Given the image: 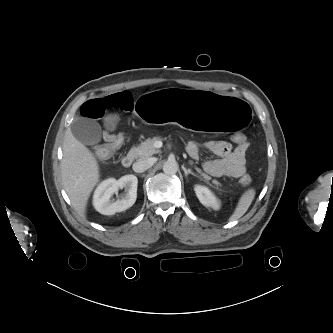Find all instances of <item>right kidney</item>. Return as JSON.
<instances>
[{
  "label": "right kidney",
  "mask_w": 333,
  "mask_h": 333,
  "mask_svg": "<svg viewBox=\"0 0 333 333\" xmlns=\"http://www.w3.org/2000/svg\"><path fill=\"white\" fill-rule=\"evenodd\" d=\"M137 184L138 179L134 175H125L119 180L114 178L104 180L94 192L93 205L95 209L103 215H113L130 208L137 198ZM120 188H125V194L122 199L115 201L112 196Z\"/></svg>",
  "instance_id": "ca27d5eb"
}]
</instances>
